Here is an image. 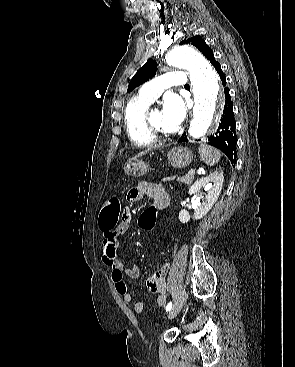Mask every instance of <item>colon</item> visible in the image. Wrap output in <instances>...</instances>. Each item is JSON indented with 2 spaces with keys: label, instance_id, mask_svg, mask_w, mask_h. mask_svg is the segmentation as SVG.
<instances>
[{
  "label": "colon",
  "instance_id": "5ec220e1",
  "mask_svg": "<svg viewBox=\"0 0 295 367\" xmlns=\"http://www.w3.org/2000/svg\"><path fill=\"white\" fill-rule=\"evenodd\" d=\"M158 206H147L146 211L139 219L140 231H150L157 219ZM123 216L121 202L116 197L109 198L104 204L99 218L100 228L108 230L114 228Z\"/></svg>",
  "mask_w": 295,
  "mask_h": 367
}]
</instances>
